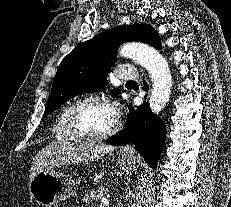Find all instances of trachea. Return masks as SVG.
<instances>
[{
	"instance_id": "obj_1",
	"label": "trachea",
	"mask_w": 231,
	"mask_h": 207,
	"mask_svg": "<svg viewBox=\"0 0 231 207\" xmlns=\"http://www.w3.org/2000/svg\"><path fill=\"white\" fill-rule=\"evenodd\" d=\"M127 83H136L135 81H128Z\"/></svg>"
}]
</instances>
